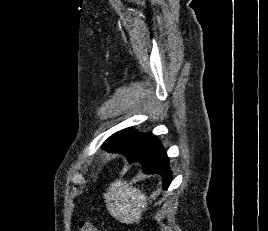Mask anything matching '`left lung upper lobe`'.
<instances>
[{
    "instance_id": "left-lung-upper-lobe-1",
    "label": "left lung upper lobe",
    "mask_w": 268,
    "mask_h": 231,
    "mask_svg": "<svg viewBox=\"0 0 268 231\" xmlns=\"http://www.w3.org/2000/svg\"><path fill=\"white\" fill-rule=\"evenodd\" d=\"M153 136L138 133L133 129L127 128L116 132L112 136H110L105 143L109 147V150L113 152L121 151L127 149L128 147L132 146L134 148H141L146 143L151 141Z\"/></svg>"
}]
</instances>
